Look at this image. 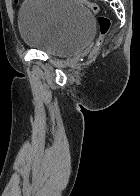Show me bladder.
I'll use <instances>...</instances> for the list:
<instances>
[{
  "mask_svg": "<svg viewBox=\"0 0 140 196\" xmlns=\"http://www.w3.org/2000/svg\"><path fill=\"white\" fill-rule=\"evenodd\" d=\"M18 27L24 44L51 56L83 50L95 33L92 11L77 0H26Z\"/></svg>",
  "mask_w": 140,
  "mask_h": 196,
  "instance_id": "1",
  "label": "bladder"
}]
</instances>
